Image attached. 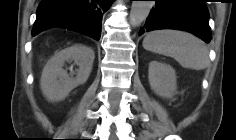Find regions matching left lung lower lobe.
I'll return each instance as SVG.
<instances>
[{
	"mask_svg": "<svg viewBox=\"0 0 236 140\" xmlns=\"http://www.w3.org/2000/svg\"><path fill=\"white\" fill-rule=\"evenodd\" d=\"M205 2V0H155V5L139 35L156 29H177L188 31L209 43L212 37Z\"/></svg>",
	"mask_w": 236,
	"mask_h": 140,
	"instance_id": "1",
	"label": "left lung lower lobe"
}]
</instances>
